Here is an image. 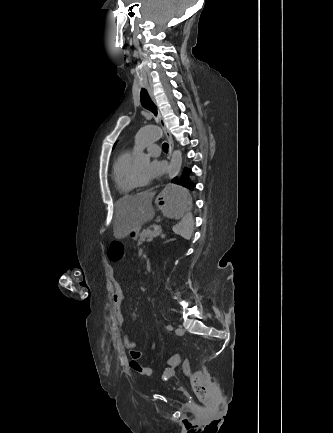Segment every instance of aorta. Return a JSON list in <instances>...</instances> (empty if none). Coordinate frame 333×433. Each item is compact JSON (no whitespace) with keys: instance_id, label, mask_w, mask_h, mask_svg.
I'll use <instances>...</instances> for the list:
<instances>
[{"instance_id":"aorta-1","label":"aorta","mask_w":333,"mask_h":433,"mask_svg":"<svg viewBox=\"0 0 333 433\" xmlns=\"http://www.w3.org/2000/svg\"><path fill=\"white\" fill-rule=\"evenodd\" d=\"M163 138V131L161 128L151 125L142 127L135 136V145L137 147V154L134 157V164L139 166L147 165L150 162V157L144 153L145 147L154 142H158ZM182 165V154L178 150H174L171 156L169 166V178L172 179L177 176Z\"/></svg>"}]
</instances>
